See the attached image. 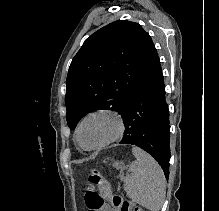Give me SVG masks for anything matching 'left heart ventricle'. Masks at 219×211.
I'll return each mask as SVG.
<instances>
[{
  "label": "left heart ventricle",
  "mask_w": 219,
  "mask_h": 211,
  "mask_svg": "<svg viewBox=\"0 0 219 211\" xmlns=\"http://www.w3.org/2000/svg\"><path fill=\"white\" fill-rule=\"evenodd\" d=\"M115 121L106 115L93 116L86 120L81 129V142L85 147H93L104 142L114 131Z\"/></svg>",
  "instance_id": "b2bd125f"
}]
</instances>
